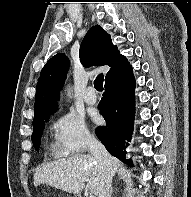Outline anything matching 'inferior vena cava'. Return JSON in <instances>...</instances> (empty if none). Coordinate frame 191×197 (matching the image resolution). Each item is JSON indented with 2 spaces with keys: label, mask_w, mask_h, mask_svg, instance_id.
Wrapping results in <instances>:
<instances>
[{
  "label": "inferior vena cava",
  "mask_w": 191,
  "mask_h": 197,
  "mask_svg": "<svg viewBox=\"0 0 191 197\" xmlns=\"http://www.w3.org/2000/svg\"><path fill=\"white\" fill-rule=\"evenodd\" d=\"M88 148L103 169V180L100 186L98 197H109L112 188V177L114 174L113 159L107 152L104 145L94 136H90L88 138Z\"/></svg>",
  "instance_id": "obj_1"
}]
</instances>
